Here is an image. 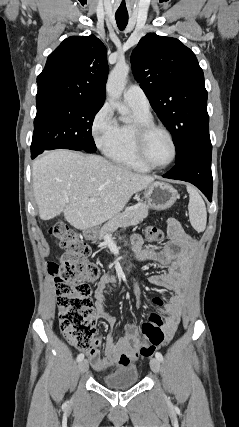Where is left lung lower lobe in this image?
Returning a JSON list of instances; mask_svg holds the SVG:
<instances>
[{"label": "left lung lower lobe", "mask_w": 239, "mask_h": 427, "mask_svg": "<svg viewBox=\"0 0 239 427\" xmlns=\"http://www.w3.org/2000/svg\"><path fill=\"white\" fill-rule=\"evenodd\" d=\"M211 156V145L197 147L191 150L180 162L175 163V166L163 177L192 183L211 202L213 186Z\"/></svg>", "instance_id": "obj_1"}]
</instances>
